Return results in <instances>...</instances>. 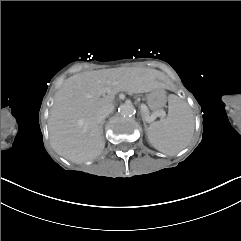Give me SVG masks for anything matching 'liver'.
<instances>
[{
	"mask_svg": "<svg viewBox=\"0 0 241 241\" xmlns=\"http://www.w3.org/2000/svg\"><path fill=\"white\" fill-rule=\"evenodd\" d=\"M160 74L153 69H105L66 79L55 96L48 120L51 147L74 163L95 159L105 147L96 115L113 105L120 91L144 93L162 87L157 82Z\"/></svg>",
	"mask_w": 241,
	"mask_h": 241,
	"instance_id": "liver-1",
	"label": "liver"
}]
</instances>
